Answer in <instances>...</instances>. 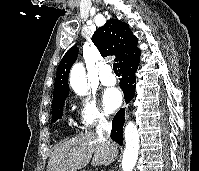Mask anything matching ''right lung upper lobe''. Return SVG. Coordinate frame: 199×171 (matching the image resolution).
<instances>
[{
    "instance_id": "obj_1",
    "label": "right lung upper lobe",
    "mask_w": 199,
    "mask_h": 171,
    "mask_svg": "<svg viewBox=\"0 0 199 171\" xmlns=\"http://www.w3.org/2000/svg\"><path fill=\"white\" fill-rule=\"evenodd\" d=\"M92 41L102 56L114 55L119 68L124 64L140 57L141 51L137 48L138 39L133 35L129 25L110 19L96 30ZM79 48L71 47L63 56L56 73L53 102L66 99L69 94L68 75L78 56Z\"/></svg>"
}]
</instances>
